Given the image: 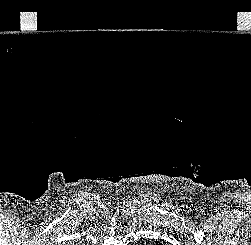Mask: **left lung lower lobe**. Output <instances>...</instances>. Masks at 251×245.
Instances as JSON below:
<instances>
[{
    "label": "left lung lower lobe",
    "instance_id": "1",
    "mask_svg": "<svg viewBox=\"0 0 251 245\" xmlns=\"http://www.w3.org/2000/svg\"><path fill=\"white\" fill-rule=\"evenodd\" d=\"M157 245H162L161 243H157Z\"/></svg>",
    "mask_w": 251,
    "mask_h": 245
}]
</instances>
